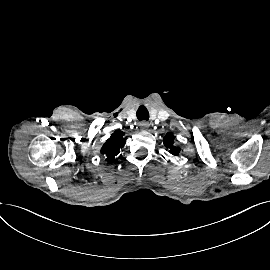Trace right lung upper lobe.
<instances>
[{
	"instance_id": "cb5924a9",
	"label": "right lung upper lobe",
	"mask_w": 270,
	"mask_h": 270,
	"mask_svg": "<svg viewBox=\"0 0 270 270\" xmlns=\"http://www.w3.org/2000/svg\"><path fill=\"white\" fill-rule=\"evenodd\" d=\"M126 143L125 133L116 130L101 148V154L106 156L107 162H116L120 157V150Z\"/></svg>"
}]
</instances>
